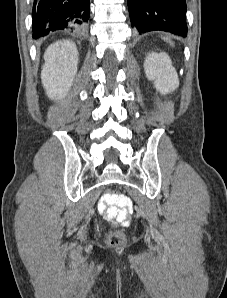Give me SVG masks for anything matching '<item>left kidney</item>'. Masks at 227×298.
Segmentation results:
<instances>
[{
  "instance_id": "5707ae66",
  "label": "left kidney",
  "mask_w": 227,
  "mask_h": 298,
  "mask_svg": "<svg viewBox=\"0 0 227 298\" xmlns=\"http://www.w3.org/2000/svg\"><path fill=\"white\" fill-rule=\"evenodd\" d=\"M144 70L149 80H154L156 89L163 95L173 92L179 86V79L167 53L152 52L144 62Z\"/></svg>"
}]
</instances>
